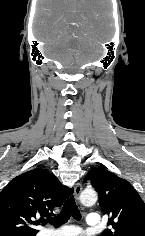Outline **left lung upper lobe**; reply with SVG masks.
Segmentation results:
<instances>
[{
  "mask_svg": "<svg viewBox=\"0 0 145 236\" xmlns=\"http://www.w3.org/2000/svg\"><path fill=\"white\" fill-rule=\"evenodd\" d=\"M87 180L99 193L103 213L110 216L107 224L112 228L101 236H145V203L128 181L102 168L89 171Z\"/></svg>",
  "mask_w": 145,
  "mask_h": 236,
  "instance_id": "1",
  "label": "left lung upper lobe"
}]
</instances>
